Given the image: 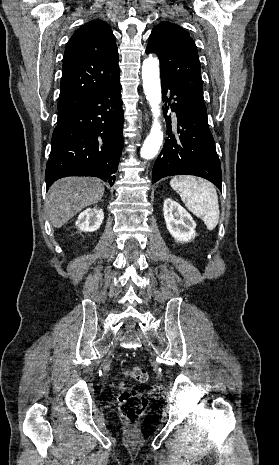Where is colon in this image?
<instances>
[{
  "mask_svg": "<svg viewBox=\"0 0 279 465\" xmlns=\"http://www.w3.org/2000/svg\"><path fill=\"white\" fill-rule=\"evenodd\" d=\"M123 375L140 383L148 380L147 370L138 366L123 368ZM117 395L121 415L131 426H134L146 410V397L138 390L125 386L124 382H119Z\"/></svg>",
  "mask_w": 279,
  "mask_h": 465,
  "instance_id": "1",
  "label": "colon"
}]
</instances>
